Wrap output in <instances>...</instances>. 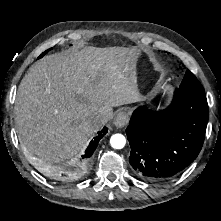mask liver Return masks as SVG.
I'll return each instance as SVG.
<instances>
[{"label":"liver","instance_id":"liver-1","mask_svg":"<svg viewBox=\"0 0 221 221\" xmlns=\"http://www.w3.org/2000/svg\"><path fill=\"white\" fill-rule=\"evenodd\" d=\"M136 48L85 47L45 56L23 77L15 121L24 153L40 162L67 159L98 130L94 113L113 117V107L141 100ZM104 123V124H105Z\"/></svg>","mask_w":221,"mask_h":221}]
</instances>
